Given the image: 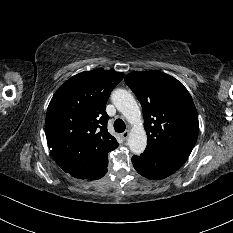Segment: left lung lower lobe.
<instances>
[{
  "instance_id": "obj_1",
  "label": "left lung lower lobe",
  "mask_w": 233,
  "mask_h": 233,
  "mask_svg": "<svg viewBox=\"0 0 233 233\" xmlns=\"http://www.w3.org/2000/svg\"><path fill=\"white\" fill-rule=\"evenodd\" d=\"M136 171L149 179H163L176 172L183 164L176 158L145 151L139 156L132 157Z\"/></svg>"
}]
</instances>
